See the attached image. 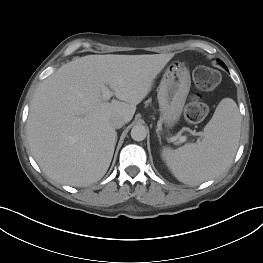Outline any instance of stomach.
<instances>
[{"instance_id":"0dacf381","label":"stomach","mask_w":263,"mask_h":263,"mask_svg":"<svg viewBox=\"0 0 263 263\" xmlns=\"http://www.w3.org/2000/svg\"><path fill=\"white\" fill-rule=\"evenodd\" d=\"M190 86V73L182 63L167 66L157 90L161 118L167 127L179 121Z\"/></svg>"}]
</instances>
